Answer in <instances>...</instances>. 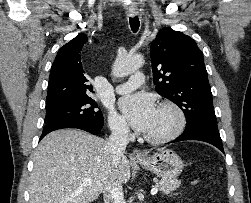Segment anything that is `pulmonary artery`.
<instances>
[{"label": "pulmonary artery", "instance_id": "e3ab8cb5", "mask_svg": "<svg viewBox=\"0 0 251 203\" xmlns=\"http://www.w3.org/2000/svg\"><path fill=\"white\" fill-rule=\"evenodd\" d=\"M144 82V75L141 72H137L131 75L127 82L121 83L115 87V91L119 94L130 92Z\"/></svg>", "mask_w": 251, "mask_h": 203}]
</instances>
